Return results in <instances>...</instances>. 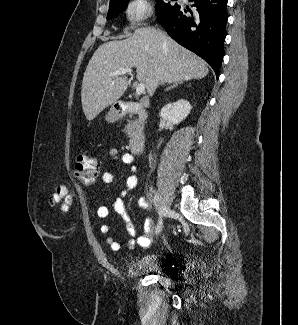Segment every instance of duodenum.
Instances as JSON below:
<instances>
[{
	"label": "duodenum",
	"instance_id": "410a0bca",
	"mask_svg": "<svg viewBox=\"0 0 298 325\" xmlns=\"http://www.w3.org/2000/svg\"><path fill=\"white\" fill-rule=\"evenodd\" d=\"M149 105L148 99H143L138 102H123L117 107V113L119 116H125L128 114L142 115L145 108ZM145 146V135L142 132H135L131 135L129 140V148L132 153L139 154L143 151Z\"/></svg>",
	"mask_w": 298,
	"mask_h": 325
}]
</instances>
